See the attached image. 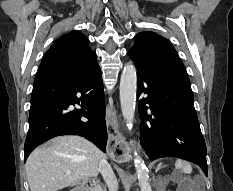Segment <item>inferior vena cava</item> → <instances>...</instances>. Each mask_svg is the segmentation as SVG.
Returning <instances> with one entry per match:
<instances>
[{"instance_id":"obj_1","label":"inferior vena cava","mask_w":233,"mask_h":191,"mask_svg":"<svg viewBox=\"0 0 233 191\" xmlns=\"http://www.w3.org/2000/svg\"><path fill=\"white\" fill-rule=\"evenodd\" d=\"M99 171L102 174L109 191H118V181L117 178L107 162L106 158L102 159L99 163Z\"/></svg>"}]
</instances>
